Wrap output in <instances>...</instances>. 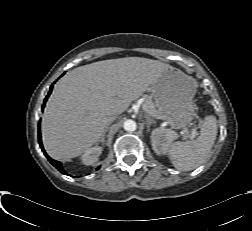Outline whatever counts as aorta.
Segmentation results:
<instances>
[{"label": "aorta", "instance_id": "1", "mask_svg": "<svg viewBox=\"0 0 252 231\" xmlns=\"http://www.w3.org/2000/svg\"><path fill=\"white\" fill-rule=\"evenodd\" d=\"M137 128V125H136V122L131 120V119H128L124 122V129L126 131H135Z\"/></svg>", "mask_w": 252, "mask_h": 231}]
</instances>
